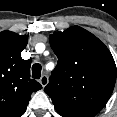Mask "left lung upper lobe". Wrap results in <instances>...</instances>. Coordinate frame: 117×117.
Instances as JSON below:
<instances>
[{
  "label": "left lung upper lobe",
  "instance_id": "obj_1",
  "mask_svg": "<svg viewBox=\"0 0 117 117\" xmlns=\"http://www.w3.org/2000/svg\"><path fill=\"white\" fill-rule=\"evenodd\" d=\"M49 41L58 64L45 93L63 117H94L107 103L116 81L110 51L79 26L56 32Z\"/></svg>",
  "mask_w": 117,
  "mask_h": 117
}]
</instances>
